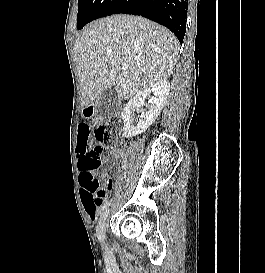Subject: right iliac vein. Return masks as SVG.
I'll list each match as a JSON object with an SVG mask.
<instances>
[{"label": "right iliac vein", "instance_id": "right-iliac-vein-1", "mask_svg": "<svg viewBox=\"0 0 265 273\" xmlns=\"http://www.w3.org/2000/svg\"><path fill=\"white\" fill-rule=\"evenodd\" d=\"M108 214H109V211L105 210L101 214L97 224V236L101 243L105 242V226H106V220H107Z\"/></svg>", "mask_w": 265, "mask_h": 273}]
</instances>
